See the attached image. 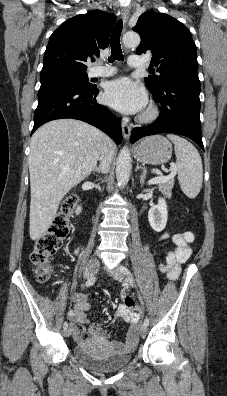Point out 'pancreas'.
<instances>
[{"instance_id":"pancreas-1","label":"pancreas","mask_w":227,"mask_h":396,"mask_svg":"<svg viewBox=\"0 0 227 396\" xmlns=\"http://www.w3.org/2000/svg\"><path fill=\"white\" fill-rule=\"evenodd\" d=\"M174 186V179H168L165 182H161L158 185V189L159 191H161V193L166 196L167 198H170L172 195V188Z\"/></svg>"}]
</instances>
